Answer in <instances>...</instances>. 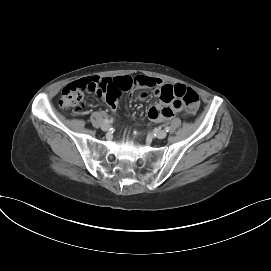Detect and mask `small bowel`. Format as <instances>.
Returning <instances> with one entry per match:
<instances>
[{
    "mask_svg": "<svg viewBox=\"0 0 271 271\" xmlns=\"http://www.w3.org/2000/svg\"><path fill=\"white\" fill-rule=\"evenodd\" d=\"M137 78L143 81V84L139 87L154 88L155 95L160 99L159 102L151 105L147 110L148 117L151 120L156 122L168 120L182 111V104L178 100L174 99L167 102L162 98V89L167 86L173 87V85L149 76H139ZM88 79L93 80L90 84L91 93L99 98H103L113 111L116 109V103L121 99L122 94L133 91L137 86V79L132 74L113 78L94 77ZM145 98V94L139 96L140 100Z\"/></svg>",
    "mask_w": 271,
    "mask_h": 271,
    "instance_id": "c3829d8e",
    "label": "small bowel"
}]
</instances>
